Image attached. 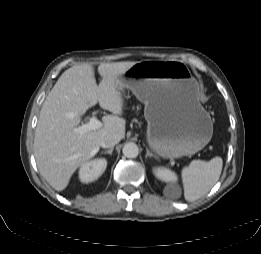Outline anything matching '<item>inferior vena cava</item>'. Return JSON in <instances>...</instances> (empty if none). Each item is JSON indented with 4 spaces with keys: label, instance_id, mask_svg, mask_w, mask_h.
<instances>
[{
    "label": "inferior vena cava",
    "instance_id": "inferior-vena-cava-1",
    "mask_svg": "<svg viewBox=\"0 0 261 254\" xmlns=\"http://www.w3.org/2000/svg\"><path fill=\"white\" fill-rule=\"evenodd\" d=\"M120 141V138L118 135H107L105 136L101 141V146L104 148H111L115 146Z\"/></svg>",
    "mask_w": 261,
    "mask_h": 254
}]
</instances>
